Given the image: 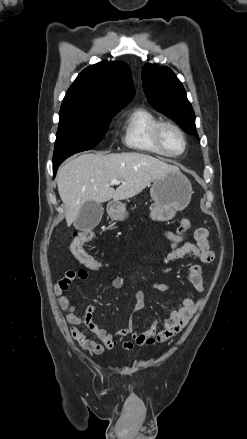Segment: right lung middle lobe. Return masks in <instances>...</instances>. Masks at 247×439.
<instances>
[{
	"label": "right lung middle lobe",
	"mask_w": 247,
	"mask_h": 439,
	"mask_svg": "<svg viewBox=\"0 0 247 439\" xmlns=\"http://www.w3.org/2000/svg\"><path fill=\"white\" fill-rule=\"evenodd\" d=\"M120 110H60L53 166H59L75 153L94 148L106 135L111 118Z\"/></svg>",
	"instance_id": "dd1d6c3e"
}]
</instances>
